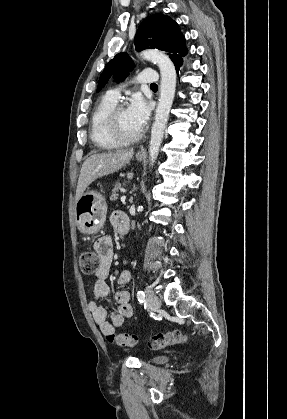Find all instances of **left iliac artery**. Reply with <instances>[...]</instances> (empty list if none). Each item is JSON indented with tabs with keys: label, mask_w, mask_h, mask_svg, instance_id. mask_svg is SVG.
Returning a JSON list of instances; mask_svg holds the SVG:
<instances>
[{
	"label": "left iliac artery",
	"mask_w": 287,
	"mask_h": 419,
	"mask_svg": "<svg viewBox=\"0 0 287 419\" xmlns=\"http://www.w3.org/2000/svg\"><path fill=\"white\" fill-rule=\"evenodd\" d=\"M137 299L140 303H144L145 301V293L141 290L137 292Z\"/></svg>",
	"instance_id": "1"
}]
</instances>
